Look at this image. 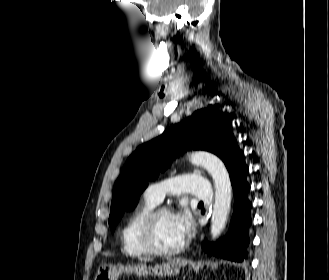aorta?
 <instances>
[{
    "label": "aorta",
    "mask_w": 329,
    "mask_h": 280,
    "mask_svg": "<svg viewBox=\"0 0 329 280\" xmlns=\"http://www.w3.org/2000/svg\"><path fill=\"white\" fill-rule=\"evenodd\" d=\"M190 161L204 167L214 181L215 201L211 218V236L216 240L226 225L231 208L232 186L229 173L217 156L207 152L193 153Z\"/></svg>",
    "instance_id": "aorta-1"
}]
</instances>
